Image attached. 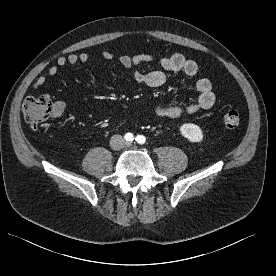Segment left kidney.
Segmentation results:
<instances>
[{
	"mask_svg": "<svg viewBox=\"0 0 276 276\" xmlns=\"http://www.w3.org/2000/svg\"><path fill=\"white\" fill-rule=\"evenodd\" d=\"M180 133L190 142H200L203 140V133L198 125L185 123L180 127Z\"/></svg>",
	"mask_w": 276,
	"mask_h": 276,
	"instance_id": "obj_1",
	"label": "left kidney"
}]
</instances>
